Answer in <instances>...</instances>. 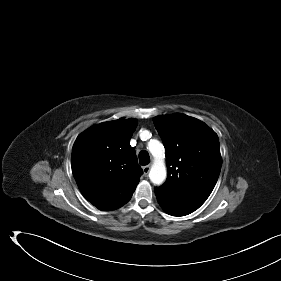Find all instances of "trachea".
I'll return each mask as SVG.
<instances>
[{"mask_svg":"<svg viewBox=\"0 0 281 281\" xmlns=\"http://www.w3.org/2000/svg\"><path fill=\"white\" fill-rule=\"evenodd\" d=\"M150 162L149 153L145 150L140 151L139 153V163L141 165H147Z\"/></svg>","mask_w":281,"mask_h":281,"instance_id":"trachea-1","label":"trachea"}]
</instances>
